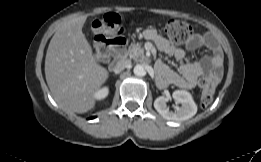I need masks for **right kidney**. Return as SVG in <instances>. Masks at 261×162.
Wrapping results in <instances>:
<instances>
[{"label":"right kidney","mask_w":261,"mask_h":162,"mask_svg":"<svg viewBox=\"0 0 261 162\" xmlns=\"http://www.w3.org/2000/svg\"><path fill=\"white\" fill-rule=\"evenodd\" d=\"M108 93H109L108 87H104L95 93L94 98L97 100H102L108 96Z\"/></svg>","instance_id":"1"}]
</instances>
